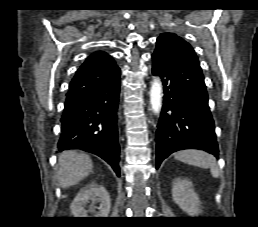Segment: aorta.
I'll return each mask as SVG.
<instances>
[{
	"mask_svg": "<svg viewBox=\"0 0 258 227\" xmlns=\"http://www.w3.org/2000/svg\"><path fill=\"white\" fill-rule=\"evenodd\" d=\"M150 103L153 112L159 114L162 107V84L158 78H155L151 85Z\"/></svg>",
	"mask_w": 258,
	"mask_h": 227,
	"instance_id": "1",
	"label": "aorta"
}]
</instances>
